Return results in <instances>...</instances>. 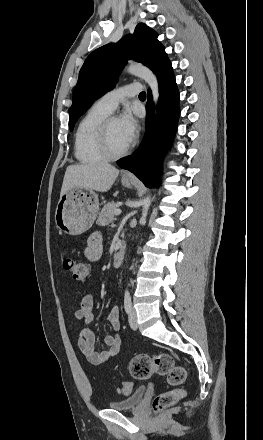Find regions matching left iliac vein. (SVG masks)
<instances>
[{"mask_svg":"<svg viewBox=\"0 0 263 440\" xmlns=\"http://www.w3.org/2000/svg\"><path fill=\"white\" fill-rule=\"evenodd\" d=\"M129 325L133 330H136L137 325V312L134 308H131L128 316Z\"/></svg>","mask_w":263,"mask_h":440,"instance_id":"obj_1","label":"left iliac vein"}]
</instances>
